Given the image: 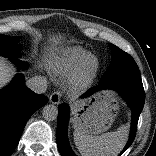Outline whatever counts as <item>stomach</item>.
I'll return each mask as SVG.
<instances>
[{
  "label": "stomach",
  "mask_w": 156,
  "mask_h": 156,
  "mask_svg": "<svg viewBox=\"0 0 156 156\" xmlns=\"http://www.w3.org/2000/svg\"><path fill=\"white\" fill-rule=\"evenodd\" d=\"M112 109L108 106H102L97 102L86 109L73 108L72 123L75 126H81L90 130L92 134H99L108 130L115 118Z\"/></svg>",
  "instance_id": "0dacf381"
}]
</instances>
